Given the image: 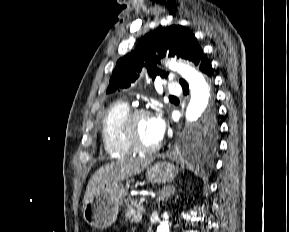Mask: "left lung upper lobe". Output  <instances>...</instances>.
I'll list each match as a JSON object with an SVG mask.
<instances>
[{
    "label": "left lung upper lobe",
    "instance_id": "left-lung-upper-lobe-1",
    "mask_svg": "<svg viewBox=\"0 0 289 232\" xmlns=\"http://www.w3.org/2000/svg\"><path fill=\"white\" fill-rule=\"evenodd\" d=\"M169 53L192 61L199 65L203 52L194 34L184 26L171 25L146 34L135 50L121 57L113 70L107 93L127 89L138 78L142 67H146L149 75L155 79L167 73L158 69L155 63ZM185 83L184 80L179 81ZM217 123L215 114L204 119L191 136V144L202 150H212L216 145Z\"/></svg>",
    "mask_w": 289,
    "mask_h": 232
}]
</instances>
